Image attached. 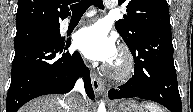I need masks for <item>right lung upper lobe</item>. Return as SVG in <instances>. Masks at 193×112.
I'll list each match as a JSON object with an SVG mask.
<instances>
[{
    "instance_id": "cb5924a9",
    "label": "right lung upper lobe",
    "mask_w": 193,
    "mask_h": 112,
    "mask_svg": "<svg viewBox=\"0 0 193 112\" xmlns=\"http://www.w3.org/2000/svg\"><path fill=\"white\" fill-rule=\"evenodd\" d=\"M74 2L76 0H18L17 31L59 25L61 19L70 15L68 5Z\"/></svg>"
}]
</instances>
